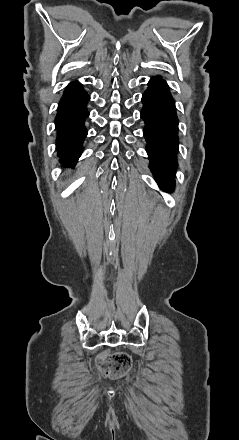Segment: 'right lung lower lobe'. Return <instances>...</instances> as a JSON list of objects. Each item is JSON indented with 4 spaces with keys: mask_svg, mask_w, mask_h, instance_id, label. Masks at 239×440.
Instances as JSON below:
<instances>
[{
    "mask_svg": "<svg viewBox=\"0 0 239 440\" xmlns=\"http://www.w3.org/2000/svg\"><path fill=\"white\" fill-rule=\"evenodd\" d=\"M90 97L78 82H71L60 99L55 125L57 156L63 165L73 166L83 151V141L87 136L84 126L89 116L87 102Z\"/></svg>",
    "mask_w": 239,
    "mask_h": 440,
    "instance_id": "98d812e1",
    "label": "right lung lower lobe"
}]
</instances>
